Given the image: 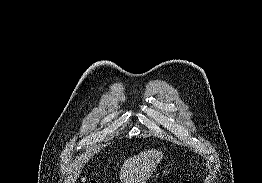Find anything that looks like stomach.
Listing matches in <instances>:
<instances>
[{"instance_id":"1","label":"stomach","mask_w":262,"mask_h":183,"mask_svg":"<svg viewBox=\"0 0 262 183\" xmlns=\"http://www.w3.org/2000/svg\"><path fill=\"white\" fill-rule=\"evenodd\" d=\"M170 173H171V169L168 168L167 166H164V168H162V172H161L162 177H168Z\"/></svg>"}]
</instances>
